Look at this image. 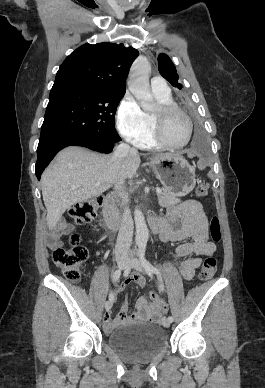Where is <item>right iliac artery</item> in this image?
<instances>
[{
  "mask_svg": "<svg viewBox=\"0 0 265 388\" xmlns=\"http://www.w3.org/2000/svg\"><path fill=\"white\" fill-rule=\"evenodd\" d=\"M120 276H121V269H118V270H116L114 273H113V280L114 281H117L119 278H120ZM112 299H113V296H112V294H110L109 295V300H111L112 301Z\"/></svg>",
  "mask_w": 265,
  "mask_h": 388,
  "instance_id": "1",
  "label": "right iliac artery"
}]
</instances>
